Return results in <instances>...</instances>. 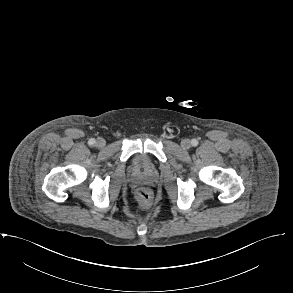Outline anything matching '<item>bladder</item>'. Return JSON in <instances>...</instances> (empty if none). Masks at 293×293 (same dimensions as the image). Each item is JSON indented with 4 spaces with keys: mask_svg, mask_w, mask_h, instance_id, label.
I'll return each mask as SVG.
<instances>
[{
    "mask_svg": "<svg viewBox=\"0 0 293 293\" xmlns=\"http://www.w3.org/2000/svg\"><path fill=\"white\" fill-rule=\"evenodd\" d=\"M134 165L138 170L148 174L154 171V166L148 161L145 156L142 155H139L135 158Z\"/></svg>",
    "mask_w": 293,
    "mask_h": 293,
    "instance_id": "bladder-1",
    "label": "bladder"
}]
</instances>
